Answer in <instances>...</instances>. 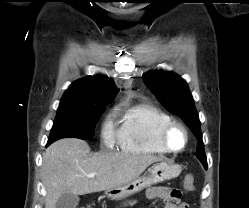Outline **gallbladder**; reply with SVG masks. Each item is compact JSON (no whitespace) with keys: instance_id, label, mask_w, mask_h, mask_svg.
<instances>
[{"instance_id":"bac80fb5","label":"gallbladder","mask_w":249,"mask_h":208,"mask_svg":"<svg viewBox=\"0 0 249 208\" xmlns=\"http://www.w3.org/2000/svg\"><path fill=\"white\" fill-rule=\"evenodd\" d=\"M78 203V195L65 193L57 200L55 208H76Z\"/></svg>"}]
</instances>
